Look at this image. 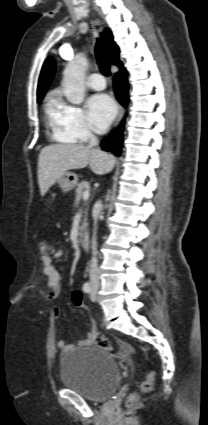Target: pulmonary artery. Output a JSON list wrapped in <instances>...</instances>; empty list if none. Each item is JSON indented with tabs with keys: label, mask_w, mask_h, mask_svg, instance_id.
Wrapping results in <instances>:
<instances>
[{
	"label": "pulmonary artery",
	"mask_w": 208,
	"mask_h": 425,
	"mask_svg": "<svg viewBox=\"0 0 208 425\" xmlns=\"http://www.w3.org/2000/svg\"><path fill=\"white\" fill-rule=\"evenodd\" d=\"M87 85L93 90H103L106 87L104 77L100 73H92L88 77Z\"/></svg>",
	"instance_id": "e3ab8cb5"
}]
</instances>
